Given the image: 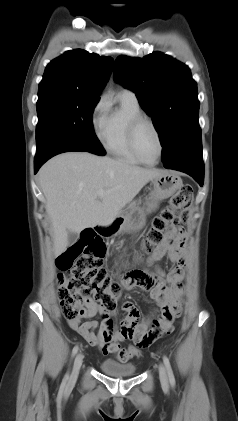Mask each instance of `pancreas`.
I'll use <instances>...</instances> for the list:
<instances>
[{
	"instance_id": "pancreas-1",
	"label": "pancreas",
	"mask_w": 238,
	"mask_h": 421,
	"mask_svg": "<svg viewBox=\"0 0 238 421\" xmlns=\"http://www.w3.org/2000/svg\"><path fill=\"white\" fill-rule=\"evenodd\" d=\"M136 205V202H132L131 204H129L128 209L133 208Z\"/></svg>"
}]
</instances>
